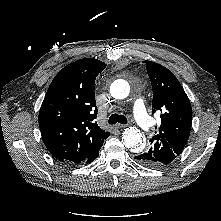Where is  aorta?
<instances>
[{"label": "aorta", "instance_id": "aorta-1", "mask_svg": "<svg viewBox=\"0 0 221 221\" xmlns=\"http://www.w3.org/2000/svg\"><path fill=\"white\" fill-rule=\"evenodd\" d=\"M130 86L125 80H116L111 84L110 93L116 99H124L129 95ZM124 146L132 152H140L145 148V140L140 130L135 127L126 128L122 134Z\"/></svg>", "mask_w": 221, "mask_h": 221}]
</instances>
